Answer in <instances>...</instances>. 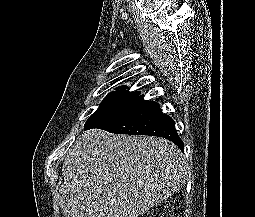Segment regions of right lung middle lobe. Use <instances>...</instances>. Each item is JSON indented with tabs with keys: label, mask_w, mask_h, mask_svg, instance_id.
<instances>
[{
	"label": "right lung middle lobe",
	"mask_w": 255,
	"mask_h": 217,
	"mask_svg": "<svg viewBox=\"0 0 255 217\" xmlns=\"http://www.w3.org/2000/svg\"><path fill=\"white\" fill-rule=\"evenodd\" d=\"M125 89L126 87H119L116 89V91L109 93L100 104L99 108L87 120L85 126L110 113L111 111L126 105L133 99L137 98L140 94L138 91L129 92Z\"/></svg>",
	"instance_id": "obj_1"
}]
</instances>
